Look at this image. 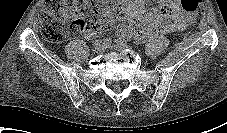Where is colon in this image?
Listing matches in <instances>:
<instances>
[{"label":"colon","mask_w":227,"mask_h":133,"mask_svg":"<svg viewBox=\"0 0 227 133\" xmlns=\"http://www.w3.org/2000/svg\"><path fill=\"white\" fill-rule=\"evenodd\" d=\"M180 5L185 12H198L204 0H180ZM117 14L108 0H48L39 13V22L43 37L58 43L68 29L76 32L104 29Z\"/></svg>","instance_id":"colon-1"}]
</instances>
